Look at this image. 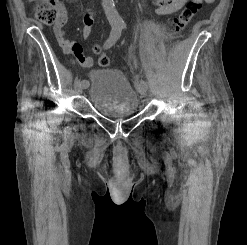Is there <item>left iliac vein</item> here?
<instances>
[{"instance_id": "1", "label": "left iliac vein", "mask_w": 247, "mask_h": 245, "mask_svg": "<svg viewBox=\"0 0 247 245\" xmlns=\"http://www.w3.org/2000/svg\"><path fill=\"white\" fill-rule=\"evenodd\" d=\"M137 88H138L140 94H142L143 96L147 95V85L138 84Z\"/></svg>"}]
</instances>
